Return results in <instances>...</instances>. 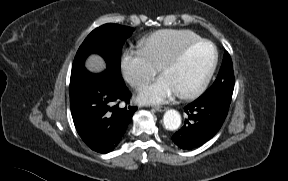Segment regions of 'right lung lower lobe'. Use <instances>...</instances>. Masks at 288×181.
<instances>
[{
  "mask_svg": "<svg viewBox=\"0 0 288 181\" xmlns=\"http://www.w3.org/2000/svg\"><path fill=\"white\" fill-rule=\"evenodd\" d=\"M75 82L70 94L75 128L89 148L108 153L121 142L137 107L128 105L131 95L124 81L114 80L106 71L85 70ZM121 101L126 107L119 106Z\"/></svg>",
  "mask_w": 288,
  "mask_h": 181,
  "instance_id": "1",
  "label": "right lung lower lobe"
}]
</instances>
